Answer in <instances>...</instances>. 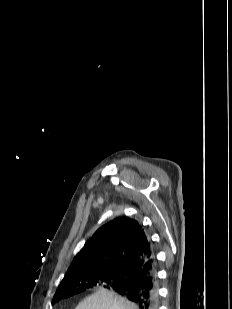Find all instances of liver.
Instances as JSON below:
<instances>
[{
  "label": "liver",
  "mask_w": 232,
  "mask_h": 309,
  "mask_svg": "<svg viewBox=\"0 0 232 309\" xmlns=\"http://www.w3.org/2000/svg\"><path fill=\"white\" fill-rule=\"evenodd\" d=\"M75 309H139L137 305L129 302L118 294L100 289L81 301Z\"/></svg>",
  "instance_id": "1"
}]
</instances>
